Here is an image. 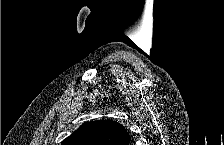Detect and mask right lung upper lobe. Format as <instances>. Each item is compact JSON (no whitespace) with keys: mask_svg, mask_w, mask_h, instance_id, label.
<instances>
[{"mask_svg":"<svg viewBox=\"0 0 224 145\" xmlns=\"http://www.w3.org/2000/svg\"><path fill=\"white\" fill-rule=\"evenodd\" d=\"M126 129L113 120L86 122L62 141V145H129Z\"/></svg>","mask_w":224,"mask_h":145,"instance_id":"1","label":"right lung upper lobe"}]
</instances>
